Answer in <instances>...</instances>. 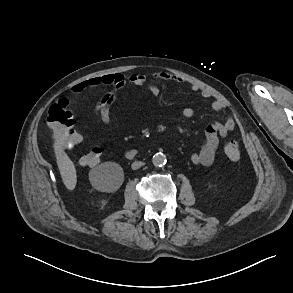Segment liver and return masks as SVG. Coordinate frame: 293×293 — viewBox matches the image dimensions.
Here are the masks:
<instances>
[{"mask_svg":"<svg viewBox=\"0 0 293 293\" xmlns=\"http://www.w3.org/2000/svg\"><path fill=\"white\" fill-rule=\"evenodd\" d=\"M54 149L57 159V166L59 168L63 183L68 190H73L77 183L74 163L59 145H55Z\"/></svg>","mask_w":293,"mask_h":293,"instance_id":"1","label":"liver"}]
</instances>
